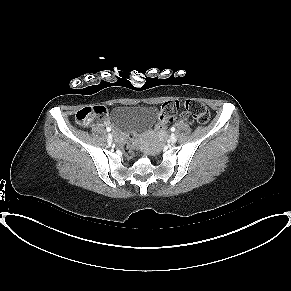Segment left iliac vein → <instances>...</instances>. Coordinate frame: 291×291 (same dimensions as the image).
I'll list each match as a JSON object with an SVG mask.
<instances>
[{
    "mask_svg": "<svg viewBox=\"0 0 291 291\" xmlns=\"http://www.w3.org/2000/svg\"><path fill=\"white\" fill-rule=\"evenodd\" d=\"M171 143H175L177 141V136L175 134H172L170 137Z\"/></svg>",
    "mask_w": 291,
    "mask_h": 291,
    "instance_id": "4c4485c4",
    "label": "left iliac vein"
}]
</instances>
